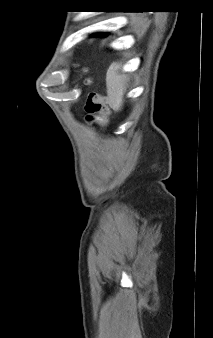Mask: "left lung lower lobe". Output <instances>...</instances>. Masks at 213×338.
Here are the masks:
<instances>
[{"instance_id":"left-lung-lower-lobe-1","label":"left lung lower lobe","mask_w":213,"mask_h":338,"mask_svg":"<svg viewBox=\"0 0 213 338\" xmlns=\"http://www.w3.org/2000/svg\"><path fill=\"white\" fill-rule=\"evenodd\" d=\"M107 33H96L94 34V36H97V35H102V36H105Z\"/></svg>"}]
</instances>
